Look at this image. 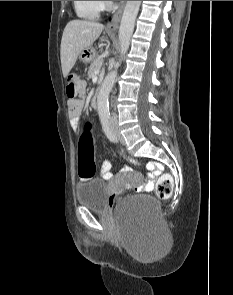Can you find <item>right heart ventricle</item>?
<instances>
[{"mask_svg":"<svg viewBox=\"0 0 233 295\" xmlns=\"http://www.w3.org/2000/svg\"><path fill=\"white\" fill-rule=\"evenodd\" d=\"M76 14L80 18L94 20L102 11L101 1H73Z\"/></svg>","mask_w":233,"mask_h":295,"instance_id":"e07e8e85","label":"right heart ventricle"}]
</instances>
